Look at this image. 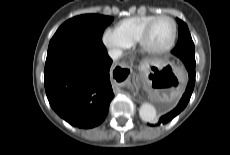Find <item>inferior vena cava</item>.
I'll list each match as a JSON object with an SVG mask.
<instances>
[{"label":"inferior vena cava","instance_id":"obj_1","mask_svg":"<svg viewBox=\"0 0 230 155\" xmlns=\"http://www.w3.org/2000/svg\"><path fill=\"white\" fill-rule=\"evenodd\" d=\"M122 50L121 49H110L108 51V55L110 56L111 59L116 60L122 55Z\"/></svg>","mask_w":230,"mask_h":155}]
</instances>
